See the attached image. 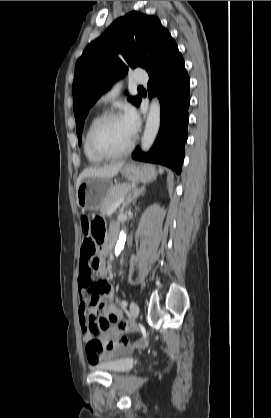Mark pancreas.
<instances>
[{"instance_id":"cf45deb5","label":"pancreas","mask_w":271,"mask_h":418,"mask_svg":"<svg viewBox=\"0 0 271 418\" xmlns=\"http://www.w3.org/2000/svg\"><path fill=\"white\" fill-rule=\"evenodd\" d=\"M131 189V185L129 183L117 184L110 189L108 192L101 208L100 212L103 215H106L110 209V207L118 201L122 196L127 194Z\"/></svg>"}]
</instances>
